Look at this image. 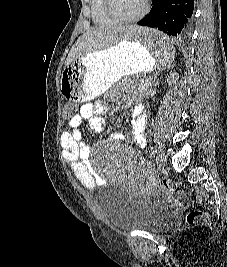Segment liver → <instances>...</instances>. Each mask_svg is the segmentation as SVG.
<instances>
[{"instance_id": "obj_1", "label": "liver", "mask_w": 227, "mask_h": 267, "mask_svg": "<svg viewBox=\"0 0 227 267\" xmlns=\"http://www.w3.org/2000/svg\"><path fill=\"white\" fill-rule=\"evenodd\" d=\"M120 26H98L87 30L73 45L65 63L71 64L76 58L82 57L94 51L113 46L122 40H126V33L132 30H121Z\"/></svg>"}]
</instances>
